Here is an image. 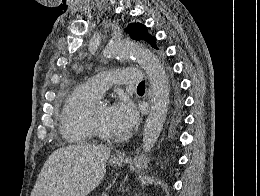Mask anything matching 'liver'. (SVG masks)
I'll use <instances>...</instances> for the list:
<instances>
[{"mask_svg":"<svg viewBox=\"0 0 260 196\" xmlns=\"http://www.w3.org/2000/svg\"><path fill=\"white\" fill-rule=\"evenodd\" d=\"M107 146H67L47 158L31 196H88L106 174Z\"/></svg>","mask_w":260,"mask_h":196,"instance_id":"6515ba94","label":"liver"}]
</instances>
